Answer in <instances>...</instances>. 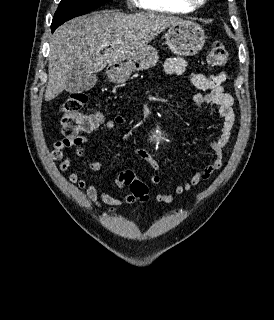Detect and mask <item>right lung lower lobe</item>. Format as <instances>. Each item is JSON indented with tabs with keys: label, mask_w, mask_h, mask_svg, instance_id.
Masks as SVG:
<instances>
[{
	"label": "right lung lower lobe",
	"mask_w": 274,
	"mask_h": 320,
	"mask_svg": "<svg viewBox=\"0 0 274 320\" xmlns=\"http://www.w3.org/2000/svg\"><path fill=\"white\" fill-rule=\"evenodd\" d=\"M57 27H51L52 33L55 31Z\"/></svg>",
	"instance_id": "1"
}]
</instances>
